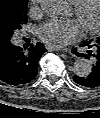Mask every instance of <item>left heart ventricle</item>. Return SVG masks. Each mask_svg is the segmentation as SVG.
Segmentation results:
<instances>
[{
  "instance_id": "1",
  "label": "left heart ventricle",
  "mask_w": 100,
  "mask_h": 118,
  "mask_svg": "<svg viewBox=\"0 0 100 118\" xmlns=\"http://www.w3.org/2000/svg\"><path fill=\"white\" fill-rule=\"evenodd\" d=\"M96 18H97V4L95 1L92 0L88 2V4L86 5L83 11L81 18L78 20L82 25V27H85L95 22Z\"/></svg>"
}]
</instances>
